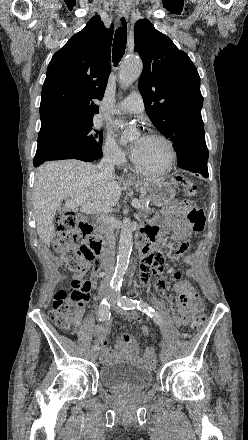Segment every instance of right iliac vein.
<instances>
[{
    "mask_svg": "<svg viewBox=\"0 0 248 440\" xmlns=\"http://www.w3.org/2000/svg\"><path fill=\"white\" fill-rule=\"evenodd\" d=\"M90 356H91V359H92V360H95V359L97 358V356H98L97 351H95V350L92 351L91 354H90Z\"/></svg>",
    "mask_w": 248,
    "mask_h": 440,
    "instance_id": "obj_1",
    "label": "right iliac vein"
}]
</instances>
